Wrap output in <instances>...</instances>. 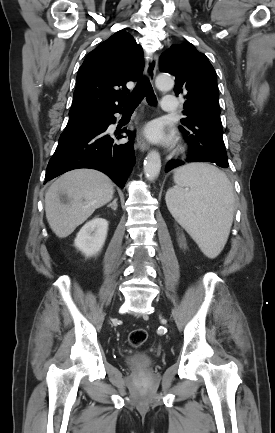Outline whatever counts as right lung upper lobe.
I'll return each instance as SVG.
<instances>
[{"label": "right lung upper lobe", "mask_w": 275, "mask_h": 433, "mask_svg": "<svg viewBox=\"0 0 275 433\" xmlns=\"http://www.w3.org/2000/svg\"><path fill=\"white\" fill-rule=\"evenodd\" d=\"M144 68L142 48L124 30L113 34L85 58L77 74L69 119L121 109Z\"/></svg>", "instance_id": "right-lung-upper-lobe-1"}]
</instances>
